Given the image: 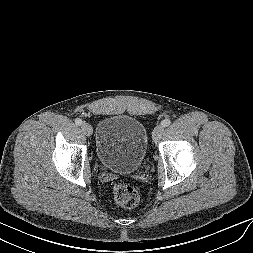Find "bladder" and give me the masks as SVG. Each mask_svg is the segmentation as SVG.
Masks as SVG:
<instances>
[{"label":"bladder","instance_id":"bladder-1","mask_svg":"<svg viewBox=\"0 0 253 253\" xmlns=\"http://www.w3.org/2000/svg\"><path fill=\"white\" fill-rule=\"evenodd\" d=\"M148 146L144 124L129 115L103 118L95 133V155L106 169L117 173H132L143 163Z\"/></svg>","mask_w":253,"mask_h":253}]
</instances>
